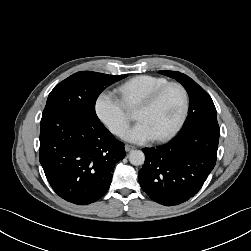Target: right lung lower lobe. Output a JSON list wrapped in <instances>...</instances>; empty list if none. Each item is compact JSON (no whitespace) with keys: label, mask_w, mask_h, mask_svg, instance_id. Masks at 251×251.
Instances as JSON below:
<instances>
[{"label":"right lung lower lobe","mask_w":251,"mask_h":251,"mask_svg":"<svg viewBox=\"0 0 251 251\" xmlns=\"http://www.w3.org/2000/svg\"><path fill=\"white\" fill-rule=\"evenodd\" d=\"M124 144L100 122L75 112L41 119L40 163L53 190L64 200L87 205L109 189Z\"/></svg>","instance_id":"right-lung-lower-lobe-1"}]
</instances>
